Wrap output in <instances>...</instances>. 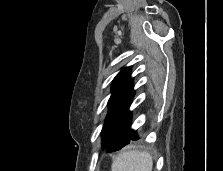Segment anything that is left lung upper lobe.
I'll list each match as a JSON object with an SVG mask.
<instances>
[{"label": "left lung upper lobe", "mask_w": 223, "mask_h": 171, "mask_svg": "<svg viewBox=\"0 0 223 171\" xmlns=\"http://www.w3.org/2000/svg\"><path fill=\"white\" fill-rule=\"evenodd\" d=\"M133 80L130 67L123 68L112 84V95L109 99V111L102 129L103 144L110 138L120 122L129 113V106L134 97Z\"/></svg>", "instance_id": "5c2ea615"}]
</instances>
